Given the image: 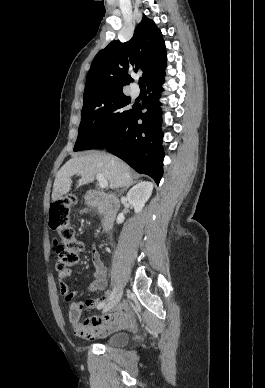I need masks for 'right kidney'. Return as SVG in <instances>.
Instances as JSON below:
<instances>
[{"label":"right kidney","mask_w":265,"mask_h":388,"mask_svg":"<svg viewBox=\"0 0 265 388\" xmlns=\"http://www.w3.org/2000/svg\"><path fill=\"white\" fill-rule=\"evenodd\" d=\"M153 190V184L151 182H139L136 186H133L127 194V200L129 204L134 206L135 214L142 212L147 200H149ZM124 214L117 216V224L124 222Z\"/></svg>","instance_id":"obj_1"}]
</instances>
